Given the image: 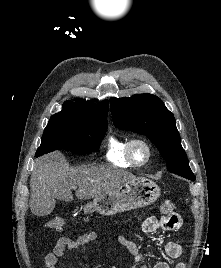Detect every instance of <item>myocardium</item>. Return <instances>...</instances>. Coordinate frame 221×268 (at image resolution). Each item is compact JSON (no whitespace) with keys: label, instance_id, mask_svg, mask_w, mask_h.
I'll use <instances>...</instances> for the list:
<instances>
[{"label":"myocardium","instance_id":"myocardium-1","mask_svg":"<svg viewBox=\"0 0 221 268\" xmlns=\"http://www.w3.org/2000/svg\"><path fill=\"white\" fill-rule=\"evenodd\" d=\"M136 145H141L144 147L146 151V157L143 161H137L136 158L134 157L133 149ZM126 154L129 159V161L137 167H141L146 165L152 157V147L151 144L149 143L148 140L142 137H137V138H132L128 141L127 147H126Z\"/></svg>","mask_w":221,"mask_h":268}]
</instances>
